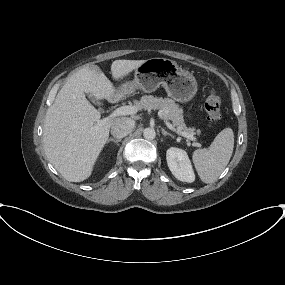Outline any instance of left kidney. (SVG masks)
I'll use <instances>...</instances> for the list:
<instances>
[{
	"label": "left kidney",
	"instance_id": "5707ae66",
	"mask_svg": "<svg viewBox=\"0 0 285 285\" xmlns=\"http://www.w3.org/2000/svg\"><path fill=\"white\" fill-rule=\"evenodd\" d=\"M166 159L170 171L178 180L188 183L194 182L195 174L184 150L171 147L167 150Z\"/></svg>",
	"mask_w": 285,
	"mask_h": 285
}]
</instances>
